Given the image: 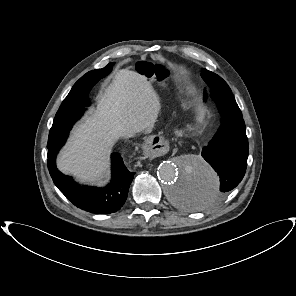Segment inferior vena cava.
<instances>
[{"instance_id": "inferior-vena-cava-1", "label": "inferior vena cava", "mask_w": 296, "mask_h": 296, "mask_svg": "<svg viewBox=\"0 0 296 296\" xmlns=\"http://www.w3.org/2000/svg\"><path fill=\"white\" fill-rule=\"evenodd\" d=\"M136 132L131 129H124L119 133V136L123 138H131L134 136Z\"/></svg>"}]
</instances>
